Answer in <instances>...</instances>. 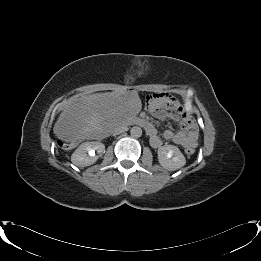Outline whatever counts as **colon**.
<instances>
[{"label": "colon", "mask_w": 261, "mask_h": 261, "mask_svg": "<svg viewBox=\"0 0 261 261\" xmlns=\"http://www.w3.org/2000/svg\"><path fill=\"white\" fill-rule=\"evenodd\" d=\"M70 146H71V144H63V147H70ZM194 152H195V150H194L193 147H186L185 148V153L187 155H192V154H194Z\"/></svg>", "instance_id": "5ec220e1"}]
</instances>
